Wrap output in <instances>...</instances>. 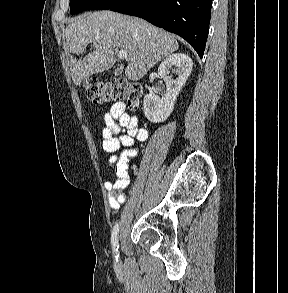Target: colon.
<instances>
[{"label":"colon","instance_id":"5ec220e1","mask_svg":"<svg viewBox=\"0 0 288 293\" xmlns=\"http://www.w3.org/2000/svg\"><path fill=\"white\" fill-rule=\"evenodd\" d=\"M83 90L86 97L95 103L123 100L131 109L138 107L143 94L140 86L126 80L103 82L95 77L84 81Z\"/></svg>","mask_w":288,"mask_h":293}]
</instances>
